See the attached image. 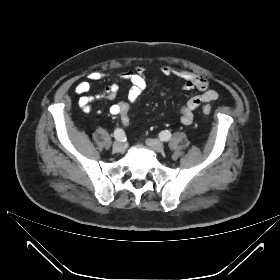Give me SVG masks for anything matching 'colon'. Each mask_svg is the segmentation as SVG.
I'll return each instance as SVG.
<instances>
[{
    "label": "colon",
    "instance_id": "1",
    "mask_svg": "<svg viewBox=\"0 0 280 280\" xmlns=\"http://www.w3.org/2000/svg\"><path fill=\"white\" fill-rule=\"evenodd\" d=\"M203 113H204V114H210V113H211V108L208 107V106L204 107V108H203Z\"/></svg>",
    "mask_w": 280,
    "mask_h": 280
}]
</instances>
